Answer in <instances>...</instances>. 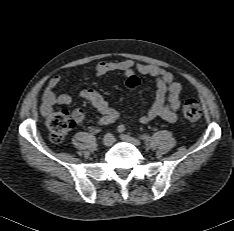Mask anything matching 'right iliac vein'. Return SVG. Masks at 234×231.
<instances>
[{
	"label": "right iliac vein",
	"mask_w": 234,
	"mask_h": 231,
	"mask_svg": "<svg viewBox=\"0 0 234 231\" xmlns=\"http://www.w3.org/2000/svg\"><path fill=\"white\" fill-rule=\"evenodd\" d=\"M115 142V138L111 133H107L103 138V145L106 147H110Z\"/></svg>",
	"instance_id": "obj_1"
}]
</instances>
